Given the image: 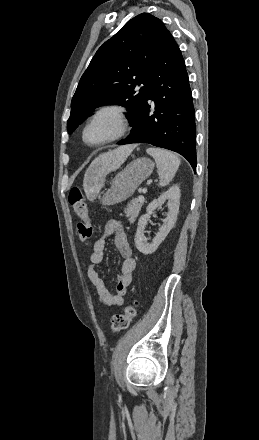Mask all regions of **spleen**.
Here are the masks:
<instances>
[{
    "label": "spleen",
    "instance_id": "3e777b00",
    "mask_svg": "<svg viewBox=\"0 0 259 440\" xmlns=\"http://www.w3.org/2000/svg\"><path fill=\"white\" fill-rule=\"evenodd\" d=\"M146 152L155 159L157 164L160 178L159 185L161 187L168 185L179 168L180 159L177 155L165 149L148 148Z\"/></svg>",
    "mask_w": 259,
    "mask_h": 440
}]
</instances>
